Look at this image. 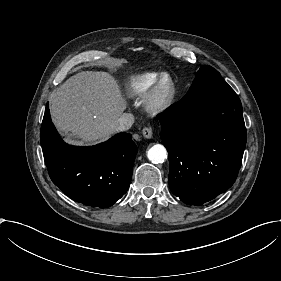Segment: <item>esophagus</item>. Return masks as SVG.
<instances>
[{
    "instance_id": "34e87169",
    "label": "esophagus",
    "mask_w": 281,
    "mask_h": 281,
    "mask_svg": "<svg viewBox=\"0 0 281 281\" xmlns=\"http://www.w3.org/2000/svg\"><path fill=\"white\" fill-rule=\"evenodd\" d=\"M142 134H143V136H144L145 138L150 139V138H152V136H153V131H152L151 128L145 127V128H143V130H142Z\"/></svg>"
}]
</instances>
